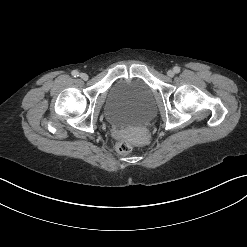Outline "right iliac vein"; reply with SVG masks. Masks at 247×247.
<instances>
[{
  "mask_svg": "<svg viewBox=\"0 0 247 247\" xmlns=\"http://www.w3.org/2000/svg\"><path fill=\"white\" fill-rule=\"evenodd\" d=\"M80 78L83 80H87L88 79V75L86 73H81L80 74Z\"/></svg>",
  "mask_w": 247,
  "mask_h": 247,
  "instance_id": "1",
  "label": "right iliac vein"
}]
</instances>
